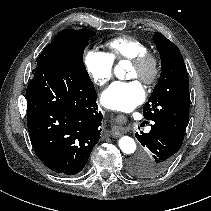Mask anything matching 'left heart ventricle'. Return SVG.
Instances as JSON below:
<instances>
[{"mask_svg":"<svg viewBox=\"0 0 211 211\" xmlns=\"http://www.w3.org/2000/svg\"><path fill=\"white\" fill-rule=\"evenodd\" d=\"M131 77H138V70L134 65L131 67Z\"/></svg>","mask_w":211,"mask_h":211,"instance_id":"obj_1","label":"left heart ventricle"}]
</instances>
